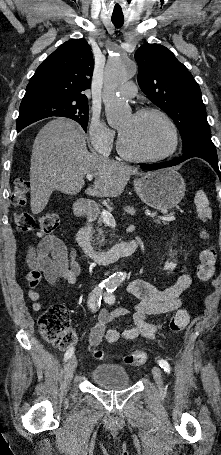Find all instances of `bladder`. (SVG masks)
<instances>
[{"label": "bladder", "mask_w": 221, "mask_h": 455, "mask_svg": "<svg viewBox=\"0 0 221 455\" xmlns=\"http://www.w3.org/2000/svg\"><path fill=\"white\" fill-rule=\"evenodd\" d=\"M95 385L104 389H121L130 386V379L124 367L117 364H99L89 373Z\"/></svg>", "instance_id": "31cf9c89"}]
</instances>
